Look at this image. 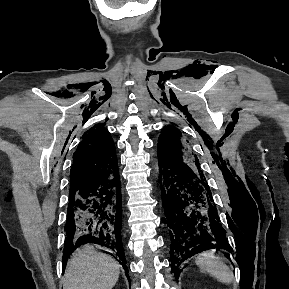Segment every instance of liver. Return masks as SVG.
<instances>
[{
  "label": "liver",
  "instance_id": "liver-1",
  "mask_svg": "<svg viewBox=\"0 0 289 289\" xmlns=\"http://www.w3.org/2000/svg\"><path fill=\"white\" fill-rule=\"evenodd\" d=\"M119 272L120 265L111 256L86 245L69 259L63 289H112Z\"/></svg>",
  "mask_w": 289,
  "mask_h": 289
}]
</instances>
